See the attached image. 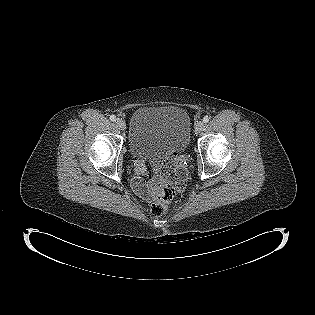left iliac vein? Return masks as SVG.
<instances>
[{
    "mask_svg": "<svg viewBox=\"0 0 315 315\" xmlns=\"http://www.w3.org/2000/svg\"><path fill=\"white\" fill-rule=\"evenodd\" d=\"M203 127H204V123H203L202 121L197 122V123L195 124V132H196V133L201 132L202 129H203Z\"/></svg>",
    "mask_w": 315,
    "mask_h": 315,
    "instance_id": "4c4485c4",
    "label": "left iliac vein"
}]
</instances>
